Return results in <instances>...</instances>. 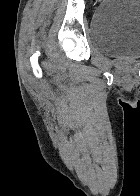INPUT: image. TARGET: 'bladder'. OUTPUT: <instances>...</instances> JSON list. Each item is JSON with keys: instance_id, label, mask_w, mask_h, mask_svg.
<instances>
[{"instance_id": "31cf9c89", "label": "bladder", "mask_w": 140, "mask_h": 196, "mask_svg": "<svg viewBox=\"0 0 140 196\" xmlns=\"http://www.w3.org/2000/svg\"><path fill=\"white\" fill-rule=\"evenodd\" d=\"M89 39L106 55L140 58V0H103L92 15Z\"/></svg>"}]
</instances>
